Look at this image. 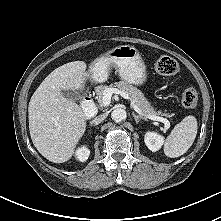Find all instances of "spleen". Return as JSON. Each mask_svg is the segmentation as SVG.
I'll list each match as a JSON object with an SVG mask.
<instances>
[{
	"label": "spleen",
	"instance_id": "spleen-1",
	"mask_svg": "<svg viewBox=\"0 0 221 221\" xmlns=\"http://www.w3.org/2000/svg\"><path fill=\"white\" fill-rule=\"evenodd\" d=\"M197 129V119L192 115L186 116L166 138L165 155L175 158L186 153L196 138Z\"/></svg>",
	"mask_w": 221,
	"mask_h": 221
}]
</instances>
